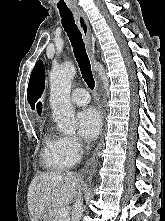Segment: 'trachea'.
<instances>
[{"mask_svg":"<svg viewBox=\"0 0 165 221\" xmlns=\"http://www.w3.org/2000/svg\"><path fill=\"white\" fill-rule=\"evenodd\" d=\"M62 18V25L69 37L75 58L78 62L82 77L90 89L95 86V81L91 71L90 60L86 53L85 44L78 29L73 14L70 10H59Z\"/></svg>","mask_w":165,"mask_h":221,"instance_id":"3493384b","label":"trachea"}]
</instances>
